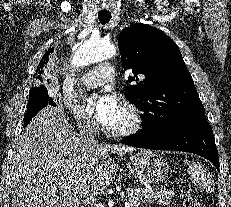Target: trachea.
Returning a JSON list of instances; mask_svg holds the SVG:
<instances>
[{"instance_id": "trachea-1", "label": "trachea", "mask_w": 231, "mask_h": 207, "mask_svg": "<svg viewBox=\"0 0 231 207\" xmlns=\"http://www.w3.org/2000/svg\"><path fill=\"white\" fill-rule=\"evenodd\" d=\"M98 19H99L101 24H106L110 21L111 14L110 13H99Z\"/></svg>"}]
</instances>
